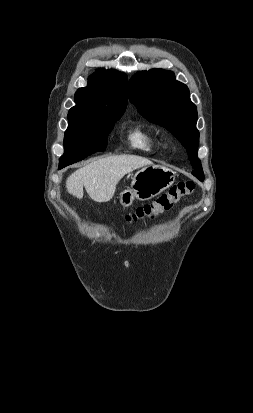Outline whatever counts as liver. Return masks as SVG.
Masks as SVG:
<instances>
[{"instance_id":"1","label":"liver","mask_w":253,"mask_h":413,"mask_svg":"<svg viewBox=\"0 0 253 413\" xmlns=\"http://www.w3.org/2000/svg\"><path fill=\"white\" fill-rule=\"evenodd\" d=\"M151 165L150 160L133 155L100 158L73 172L66 180V188L70 194L82 199L85 187L92 200L107 202L113 198L116 185L124 175Z\"/></svg>"}]
</instances>
